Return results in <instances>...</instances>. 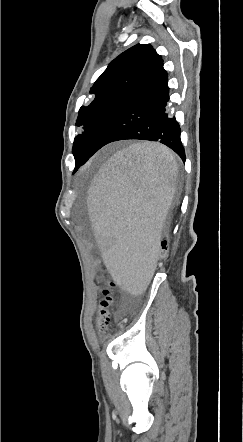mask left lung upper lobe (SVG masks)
<instances>
[{
    "label": "left lung upper lobe",
    "mask_w": 243,
    "mask_h": 442,
    "mask_svg": "<svg viewBox=\"0 0 243 442\" xmlns=\"http://www.w3.org/2000/svg\"><path fill=\"white\" fill-rule=\"evenodd\" d=\"M161 56L149 44H137L116 57L95 81L90 89L94 100L79 110L76 126H82V133L76 136L72 153L75 170L83 158L106 118L115 106L160 62Z\"/></svg>",
    "instance_id": "obj_1"
}]
</instances>
